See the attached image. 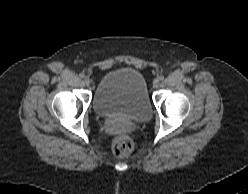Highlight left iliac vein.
<instances>
[{"label":"left iliac vein","mask_w":248,"mask_h":194,"mask_svg":"<svg viewBox=\"0 0 248 194\" xmlns=\"http://www.w3.org/2000/svg\"><path fill=\"white\" fill-rule=\"evenodd\" d=\"M159 85H160L159 79H155V80L153 81V87H154V88H158Z\"/></svg>","instance_id":"left-iliac-vein-1"}]
</instances>
